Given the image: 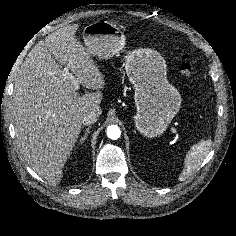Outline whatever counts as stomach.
Listing matches in <instances>:
<instances>
[{"mask_svg": "<svg viewBox=\"0 0 236 236\" xmlns=\"http://www.w3.org/2000/svg\"><path fill=\"white\" fill-rule=\"evenodd\" d=\"M83 39L89 54L101 59L123 50L126 40L120 29L108 21L86 26ZM125 70L135 89L136 129L150 138L162 135L182 101L179 91L167 80L165 60L157 51L139 48L127 53Z\"/></svg>", "mask_w": 236, "mask_h": 236, "instance_id": "obj_1", "label": "stomach"}]
</instances>
